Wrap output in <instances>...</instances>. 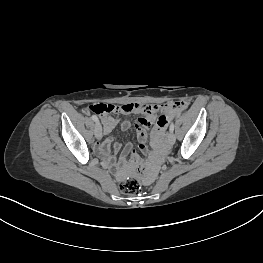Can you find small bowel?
<instances>
[{
	"label": "small bowel",
	"mask_w": 263,
	"mask_h": 263,
	"mask_svg": "<svg viewBox=\"0 0 263 263\" xmlns=\"http://www.w3.org/2000/svg\"><path fill=\"white\" fill-rule=\"evenodd\" d=\"M168 103V108L158 114H139L140 118L135 123L139 149L145 152L147 150V141L152 146L150 167L146 164H142L139 157L135 154V149L132 143H127L119 161L115 163L118 177H124L131 168L132 173L135 176H140L142 173H146L148 171L149 174L145 177V180L148 183H151L154 180L153 176L157 173L158 167L162 163L161 154L163 141L161 145V140L164 138V133L167 131L166 125H168L169 121L173 118L171 116L173 114L175 115L177 113L176 110L179 108V105L173 100H170ZM100 119L103 124L104 134L106 135L110 134L118 125H120L123 131L128 130L131 126V122L129 120L120 121L119 119H116L106 113L101 114ZM155 119L157 124L152 128L155 123ZM151 128L154 131L152 137L149 139V131ZM112 143L113 138L107 137L96 145V152L108 162L113 160V154L119 152L122 147L119 142L114 145Z\"/></svg>",
	"instance_id": "small-bowel-1"
}]
</instances>
